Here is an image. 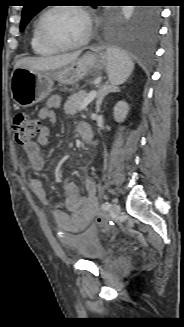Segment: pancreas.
<instances>
[{"label": "pancreas", "instance_id": "1", "mask_svg": "<svg viewBox=\"0 0 184 327\" xmlns=\"http://www.w3.org/2000/svg\"><path fill=\"white\" fill-rule=\"evenodd\" d=\"M89 94L86 91H80L78 93L72 94L68 100L66 101L64 105V111L65 114L67 115H74L78 111H81V105L84 101V99L88 96Z\"/></svg>", "mask_w": 184, "mask_h": 327}]
</instances>
